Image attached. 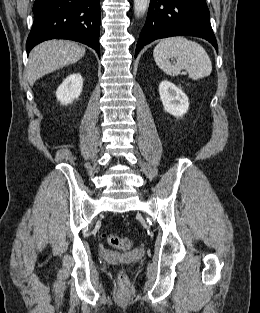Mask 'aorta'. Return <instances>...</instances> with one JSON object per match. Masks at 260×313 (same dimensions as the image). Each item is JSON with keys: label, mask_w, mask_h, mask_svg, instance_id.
Segmentation results:
<instances>
[{"label": "aorta", "mask_w": 260, "mask_h": 313, "mask_svg": "<svg viewBox=\"0 0 260 313\" xmlns=\"http://www.w3.org/2000/svg\"><path fill=\"white\" fill-rule=\"evenodd\" d=\"M150 0H134V11L136 17L144 14L148 8Z\"/></svg>", "instance_id": "obj_1"}]
</instances>
